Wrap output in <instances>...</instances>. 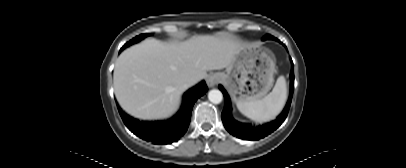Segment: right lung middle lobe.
I'll use <instances>...</instances> for the list:
<instances>
[{
    "label": "right lung middle lobe",
    "mask_w": 406,
    "mask_h": 168,
    "mask_svg": "<svg viewBox=\"0 0 406 168\" xmlns=\"http://www.w3.org/2000/svg\"><path fill=\"white\" fill-rule=\"evenodd\" d=\"M150 35H151L150 33H146V34H141V35H139V36H136L135 38H133L132 40H130L129 42H127V43L123 46V48H125V47H127L128 45H131V44H133V43H136V42H138V41L142 40L143 38H145V37H147V36H150Z\"/></svg>",
    "instance_id": "right-lung-middle-lobe-1"
}]
</instances>
